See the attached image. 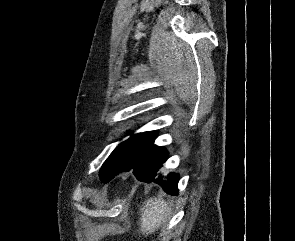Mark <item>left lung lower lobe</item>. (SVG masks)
I'll use <instances>...</instances> for the list:
<instances>
[{
  "mask_svg": "<svg viewBox=\"0 0 295 241\" xmlns=\"http://www.w3.org/2000/svg\"><path fill=\"white\" fill-rule=\"evenodd\" d=\"M167 157L168 153L163 147L152 144L141 156L126 165L120 172L132 171L137 180L146 183L155 182L159 184L166 193L177 195L178 175L170 173L165 176L159 173Z\"/></svg>",
  "mask_w": 295,
  "mask_h": 241,
  "instance_id": "obj_1",
  "label": "left lung lower lobe"
}]
</instances>
